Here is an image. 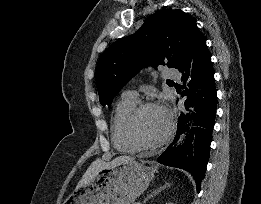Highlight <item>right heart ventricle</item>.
<instances>
[{
    "mask_svg": "<svg viewBox=\"0 0 261 204\" xmlns=\"http://www.w3.org/2000/svg\"><path fill=\"white\" fill-rule=\"evenodd\" d=\"M137 105L136 100L122 98L115 106L111 118V138L116 150L122 153H134L138 148L125 133V121Z\"/></svg>",
    "mask_w": 261,
    "mask_h": 204,
    "instance_id": "e07e8e85",
    "label": "right heart ventricle"
}]
</instances>
